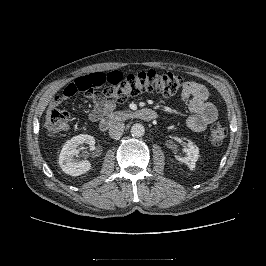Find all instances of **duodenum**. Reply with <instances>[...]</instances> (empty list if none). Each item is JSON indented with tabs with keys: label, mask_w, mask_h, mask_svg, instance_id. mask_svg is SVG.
<instances>
[{
	"label": "duodenum",
	"mask_w": 266,
	"mask_h": 266,
	"mask_svg": "<svg viewBox=\"0 0 266 266\" xmlns=\"http://www.w3.org/2000/svg\"><path fill=\"white\" fill-rule=\"evenodd\" d=\"M91 115L94 116L95 120L99 122L98 125L101 131H107L115 124L124 121L129 117L139 118L144 121H151L156 119L158 116L154 110L149 108H143L131 114H127L125 112H115L113 114L102 117L95 112H92Z\"/></svg>",
	"instance_id": "obj_1"
}]
</instances>
